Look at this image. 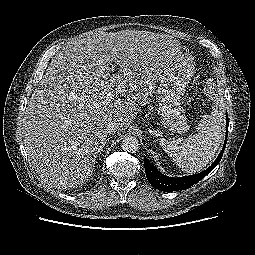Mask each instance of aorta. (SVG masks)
<instances>
[{
    "mask_svg": "<svg viewBox=\"0 0 255 255\" xmlns=\"http://www.w3.org/2000/svg\"><path fill=\"white\" fill-rule=\"evenodd\" d=\"M139 148V141L134 136H127L122 140V149L129 153H135Z\"/></svg>",
    "mask_w": 255,
    "mask_h": 255,
    "instance_id": "obj_1",
    "label": "aorta"
}]
</instances>
